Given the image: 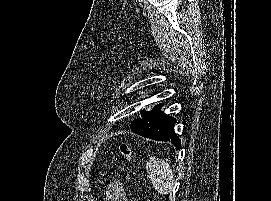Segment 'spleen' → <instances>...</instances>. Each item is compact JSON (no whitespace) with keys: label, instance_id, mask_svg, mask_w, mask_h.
I'll return each mask as SVG.
<instances>
[{"label":"spleen","instance_id":"spleen-1","mask_svg":"<svg viewBox=\"0 0 271 201\" xmlns=\"http://www.w3.org/2000/svg\"><path fill=\"white\" fill-rule=\"evenodd\" d=\"M146 170L154 188L163 195L171 192L174 185V173L164 160L152 156L146 164Z\"/></svg>","mask_w":271,"mask_h":201}]
</instances>
